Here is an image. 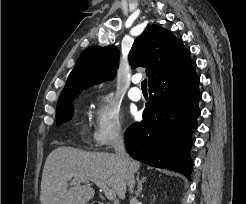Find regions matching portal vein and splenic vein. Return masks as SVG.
Listing matches in <instances>:
<instances>
[{
	"label": "portal vein and splenic vein",
	"mask_w": 246,
	"mask_h": 204,
	"mask_svg": "<svg viewBox=\"0 0 246 204\" xmlns=\"http://www.w3.org/2000/svg\"><path fill=\"white\" fill-rule=\"evenodd\" d=\"M86 182H88L89 180H84ZM92 182H94L99 188L101 191L104 192L105 196L109 199V200H114L115 197H116V194H115V191L108 187L105 183L99 181V180H90Z\"/></svg>",
	"instance_id": "1"
}]
</instances>
